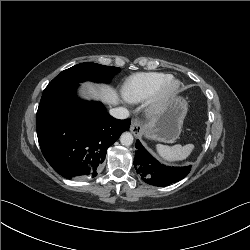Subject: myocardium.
Instances as JSON below:
<instances>
[{
    "label": "myocardium",
    "instance_id": "1",
    "mask_svg": "<svg viewBox=\"0 0 250 250\" xmlns=\"http://www.w3.org/2000/svg\"><path fill=\"white\" fill-rule=\"evenodd\" d=\"M180 82L170 78L162 83L157 90L148 98V112L155 115L179 92Z\"/></svg>",
    "mask_w": 250,
    "mask_h": 250
}]
</instances>
